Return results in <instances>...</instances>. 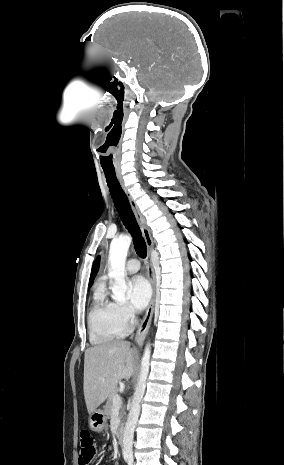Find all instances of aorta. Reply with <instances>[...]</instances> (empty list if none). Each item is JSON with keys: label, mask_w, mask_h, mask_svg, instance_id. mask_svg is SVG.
Instances as JSON below:
<instances>
[{"label": "aorta", "mask_w": 284, "mask_h": 465, "mask_svg": "<svg viewBox=\"0 0 284 465\" xmlns=\"http://www.w3.org/2000/svg\"><path fill=\"white\" fill-rule=\"evenodd\" d=\"M131 240V237L128 235L119 236L118 238L113 239L110 245L108 258L110 263L109 276L114 280L112 286V298L118 302H124L126 300L125 294L127 291V285L125 283V263ZM150 356L151 345L148 344L145 347L141 360V370L123 432L122 453L125 459H131L133 456L132 445L134 430L140 414V403L145 393L146 380L150 366Z\"/></svg>", "instance_id": "obj_1"}]
</instances>
